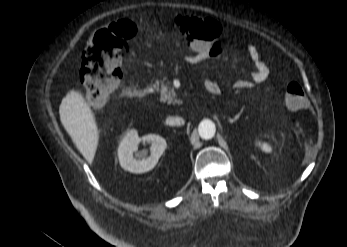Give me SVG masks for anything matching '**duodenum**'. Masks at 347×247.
<instances>
[{"label": "duodenum", "mask_w": 347, "mask_h": 247, "mask_svg": "<svg viewBox=\"0 0 347 247\" xmlns=\"http://www.w3.org/2000/svg\"><path fill=\"white\" fill-rule=\"evenodd\" d=\"M149 93V88L134 86L127 91L126 95L132 98H143L147 96Z\"/></svg>", "instance_id": "1"}]
</instances>
